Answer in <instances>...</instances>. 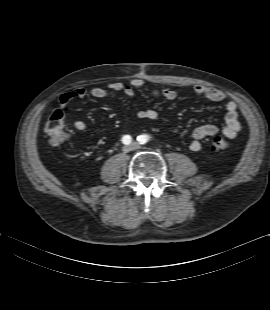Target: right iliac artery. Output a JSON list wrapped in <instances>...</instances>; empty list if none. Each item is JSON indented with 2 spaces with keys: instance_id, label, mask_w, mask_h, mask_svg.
Segmentation results:
<instances>
[{
  "instance_id": "82829eb1",
  "label": "right iliac artery",
  "mask_w": 270,
  "mask_h": 310,
  "mask_svg": "<svg viewBox=\"0 0 270 310\" xmlns=\"http://www.w3.org/2000/svg\"><path fill=\"white\" fill-rule=\"evenodd\" d=\"M131 141H132V138H131L129 135H125V136H123V138H122V142H123L124 144H126V145L130 144Z\"/></svg>"
}]
</instances>
